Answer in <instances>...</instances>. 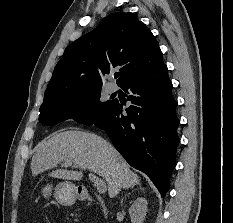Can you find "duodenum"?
<instances>
[{"mask_svg":"<svg viewBox=\"0 0 233 223\" xmlns=\"http://www.w3.org/2000/svg\"><path fill=\"white\" fill-rule=\"evenodd\" d=\"M79 199L88 202L92 201L90 194L85 190L79 192Z\"/></svg>","mask_w":233,"mask_h":223,"instance_id":"410a0bca","label":"duodenum"}]
</instances>
